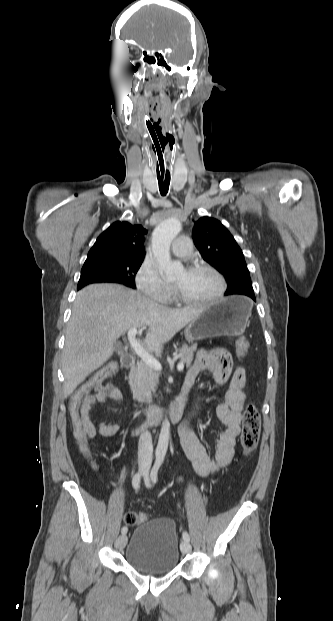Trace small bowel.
I'll return each instance as SVG.
<instances>
[{
  "instance_id": "c3829d8e",
  "label": "small bowel",
  "mask_w": 333,
  "mask_h": 621,
  "mask_svg": "<svg viewBox=\"0 0 333 621\" xmlns=\"http://www.w3.org/2000/svg\"><path fill=\"white\" fill-rule=\"evenodd\" d=\"M203 371L209 372L217 383L229 382L225 401L219 404L216 410L217 417L224 424L225 429L217 439L214 457L209 455L204 445L192 431L189 419L182 425L181 439L183 449L192 461L196 472L201 477H209L228 466L234 456L236 439L241 431L240 424L246 399L247 371L242 366L235 365L230 354L220 348L200 351L188 370L184 383L189 384L192 388L197 377ZM108 399L113 401L123 399L122 391L112 383L97 386L83 396L80 403V415L86 437L93 438L99 435L108 438L118 432L120 428L118 424H107L101 421L95 423L93 419V410L96 404L103 403ZM200 400L201 396L199 395L191 417L196 414Z\"/></svg>"
}]
</instances>
